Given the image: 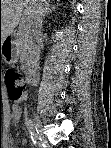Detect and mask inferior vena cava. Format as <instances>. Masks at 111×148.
<instances>
[{"label":"inferior vena cava","mask_w":111,"mask_h":148,"mask_svg":"<svg viewBox=\"0 0 111 148\" xmlns=\"http://www.w3.org/2000/svg\"><path fill=\"white\" fill-rule=\"evenodd\" d=\"M48 2L49 1L47 0H43L42 3L37 6L32 16L31 53L35 59H38L40 53L43 15L46 7L48 6Z\"/></svg>","instance_id":"inferior-vena-cava-1"}]
</instances>
